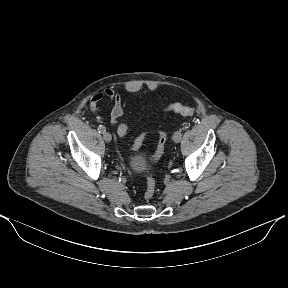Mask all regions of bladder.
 <instances>
[{
	"mask_svg": "<svg viewBox=\"0 0 288 288\" xmlns=\"http://www.w3.org/2000/svg\"><path fill=\"white\" fill-rule=\"evenodd\" d=\"M129 166L135 173H141L147 166L141 156H133L129 160Z\"/></svg>",
	"mask_w": 288,
	"mask_h": 288,
	"instance_id": "bladder-1",
	"label": "bladder"
}]
</instances>
